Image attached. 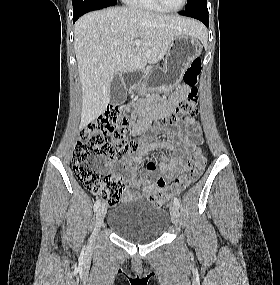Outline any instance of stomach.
Wrapping results in <instances>:
<instances>
[{"instance_id": "0dacf381", "label": "stomach", "mask_w": 280, "mask_h": 285, "mask_svg": "<svg viewBox=\"0 0 280 285\" xmlns=\"http://www.w3.org/2000/svg\"><path fill=\"white\" fill-rule=\"evenodd\" d=\"M202 45L197 37L190 34L177 36L171 43L169 51L166 53L163 73L165 75L166 88L165 95L169 94L173 87L181 81L182 74L186 67L201 53ZM153 82V79H145L144 82ZM132 85V89L136 88Z\"/></svg>"}]
</instances>
